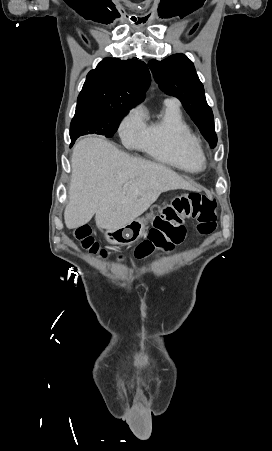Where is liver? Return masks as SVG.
Wrapping results in <instances>:
<instances>
[{"label":"liver","mask_w":272,"mask_h":451,"mask_svg":"<svg viewBox=\"0 0 272 451\" xmlns=\"http://www.w3.org/2000/svg\"><path fill=\"white\" fill-rule=\"evenodd\" d=\"M69 202L64 210L69 229L90 222L99 229H118L132 222L167 190H194L176 172L119 152L103 138H84L71 158Z\"/></svg>","instance_id":"obj_1"}]
</instances>
